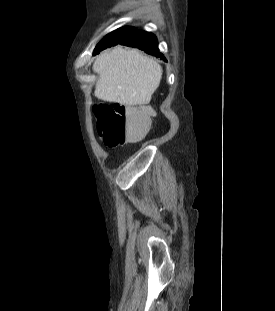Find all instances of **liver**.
<instances>
[{
  "instance_id": "obj_1",
  "label": "liver",
  "mask_w": 275,
  "mask_h": 311,
  "mask_svg": "<svg viewBox=\"0 0 275 311\" xmlns=\"http://www.w3.org/2000/svg\"><path fill=\"white\" fill-rule=\"evenodd\" d=\"M93 71L99 75L95 86L99 99L129 106L148 104L162 78L157 61L122 47L97 57Z\"/></svg>"
}]
</instances>
